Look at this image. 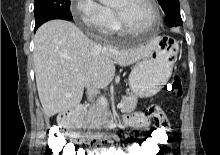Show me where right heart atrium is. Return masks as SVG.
<instances>
[{
  "label": "right heart atrium",
  "instance_id": "1",
  "mask_svg": "<svg viewBox=\"0 0 220 155\" xmlns=\"http://www.w3.org/2000/svg\"><path fill=\"white\" fill-rule=\"evenodd\" d=\"M71 13L87 32L97 35L110 33L115 19L114 13L97 0H74Z\"/></svg>",
  "mask_w": 220,
  "mask_h": 155
}]
</instances>
